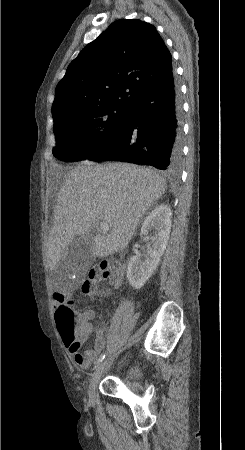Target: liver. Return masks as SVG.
Here are the masks:
<instances>
[{"label": "liver", "mask_w": 245, "mask_h": 450, "mask_svg": "<svg viewBox=\"0 0 245 450\" xmlns=\"http://www.w3.org/2000/svg\"><path fill=\"white\" fill-rule=\"evenodd\" d=\"M166 181L158 173L130 163L81 165L65 176L47 241V258L54 270L77 236H89L98 222L109 225L106 235L93 237V254L103 258L123 250Z\"/></svg>", "instance_id": "obj_1"}]
</instances>
